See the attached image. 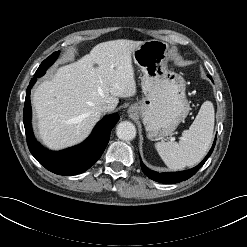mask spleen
Segmentation results:
<instances>
[{
	"instance_id": "1",
	"label": "spleen",
	"mask_w": 247,
	"mask_h": 247,
	"mask_svg": "<svg viewBox=\"0 0 247 247\" xmlns=\"http://www.w3.org/2000/svg\"><path fill=\"white\" fill-rule=\"evenodd\" d=\"M214 130V107L205 101L189 129L182 132L179 142H157L155 148L172 170L199 163L207 154Z\"/></svg>"
}]
</instances>
